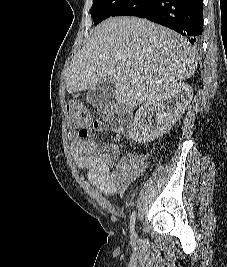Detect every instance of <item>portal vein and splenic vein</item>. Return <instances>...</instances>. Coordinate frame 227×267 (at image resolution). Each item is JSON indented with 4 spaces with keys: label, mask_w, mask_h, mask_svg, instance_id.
<instances>
[{
    "label": "portal vein and splenic vein",
    "mask_w": 227,
    "mask_h": 267,
    "mask_svg": "<svg viewBox=\"0 0 227 267\" xmlns=\"http://www.w3.org/2000/svg\"><path fill=\"white\" fill-rule=\"evenodd\" d=\"M125 75L128 76V77H133V78L135 77L134 72L131 71V70H126V71H125Z\"/></svg>",
    "instance_id": "portal-vein-and-splenic-vein-1"
}]
</instances>
